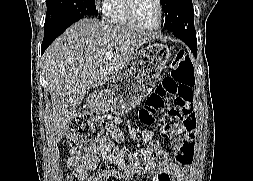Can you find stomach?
I'll return each instance as SVG.
<instances>
[{"mask_svg":"<svg viewBox=\"0 0 253 181\" xmlns=\"http://www.w3.org/2000/svg\"><path fill=\"white\" fill-rule=\"evenodd\" d=\"M163 43L149 42L133 54L130 60L113 77L110 89L94 91L89 105L97 113L111 111L122 116L141 103L155 86L171 55Z\"/></svg>","mask_w":253,"mask_h":181,"instance_id":"stomach-1","label":"stomach"}]
</instances>
